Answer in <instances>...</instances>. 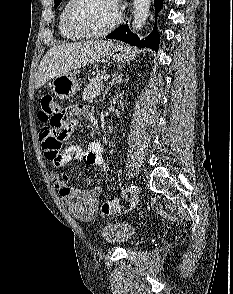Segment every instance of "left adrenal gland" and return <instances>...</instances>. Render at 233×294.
I'll list each match as a JSON object with an SVG mask.
<instances>
[{
	"label": "left adrenal gland",
	"instance_id": "a2214340",
	"mask_svg": "<svg viewBox=\"0 0 233 294\" xmlns=\"http://www.w3.org/2000/svg\"><path fill=\"white\" fill-rule=\"evenodd\" d=\"M123 76H124L123 74H116V73L113 74V78H112L109 86L107 87L104 95H103V99H105V96H106L108 90L110 89V87H112L113 85H116V84H120L122 82Z\"/></svg>",
	"mask_w": 233,
	"mask_h": 294
}]
</instances>
